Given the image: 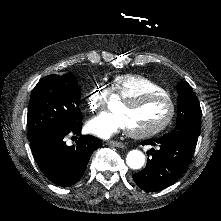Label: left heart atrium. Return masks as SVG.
<instances>
[{
    "label": "left heart atrium",
    "instance_id": "obj_1",
    "mask_svg": "<svg viewBox=\"0 0 221 221\" xmlns=\"http://www.w3.org/2000/svg\"><path fill=\"white\" fill-rule=\"evenodd\" d=\"M87 127L95 135L110 138L120 130L121 120L115 112L105 111L97 118L91 119Z\"/></svg>",
    "mask_w": 221,
    "mask_h": 221
}]
</instances>
